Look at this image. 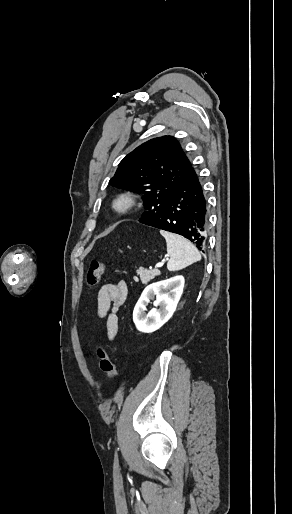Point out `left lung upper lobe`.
<instances>
[{"label": "left lung upper lobe", "mask_w": 292, "mask_h": 514, "mask_svg": "<svg viewBox=\"0 0 292 514\" xmlns=\"http://www.w3.org/2000/svg\"><path fill=\"white\" fill-rule=\"evenodd\" d=\"M192 164L172 136L153 138L126 155L109 184L142 195L140 223L156 218L188 175Z\"/></svg>", "instance_id": "1"}]
</instances>
